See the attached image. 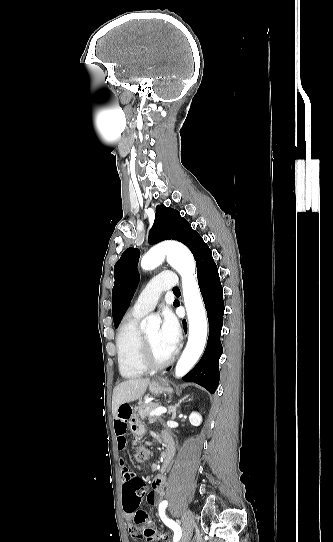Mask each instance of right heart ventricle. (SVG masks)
Returning <instances> with one entry per match:
<instances>
[{
	"label": "right heart ventricle",
	"mask_w": 333,
	"mask_h": 542,
	"mask_svg": "<svg viewBox=\"0 0 333 542\" xmlns=\"http://www.w3.org/2000/svg\"><path fill=\"white\" fill-rule=\"evenodd\" d=\"M142 316L130 313V318L119 328L116 335V350L120 374L126 379H136L145 374L138 360L141 338L139 321Z\"/></svg>",
	"instance_id": "right-heart-ventricle-1"
}]
</instances>
